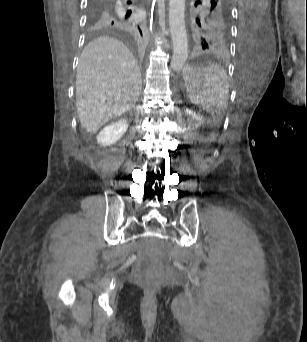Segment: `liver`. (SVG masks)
<instances>
[{"instance_id": "obj_1", "label": "liver", "mask_w": 307, "mask_h": 342, "mask_svg": "<svg viewBox=\"0 0 307 342\" xmlns=\"http://www.w3.org/2000/svg\"><path fill=\"white\" fill-rule=\"evenodd\" d=\"M140 68L125 44L102 36L84 48L76 74V108L82 128L95 134L137 102Z\"/></svg>"}]
</instances>
